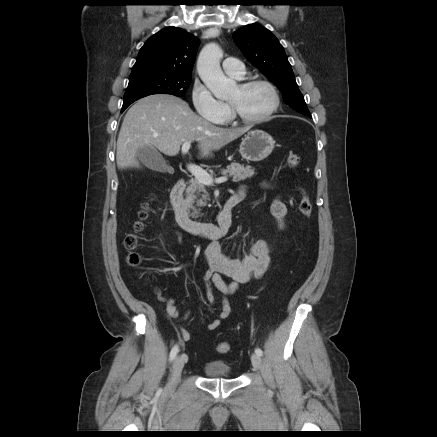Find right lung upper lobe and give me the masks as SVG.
Here are the masks:
<instances>
[{"label":"right lung upper lobe","instance_id":"cb5924a9","mask_svg":"<svg viewBox=\"0 0 437 437\" xmlns=\"http://www.w3.org/2000/svg\"><path fill=\"white\" fill-rule=\"evenodd\" d=\"M198 44L193 34L181 28L160 30L140 49L132 71L155 70L171 75H191Z\"/></svg>","mask_w":437,"mask_h":437}]
</instances>
